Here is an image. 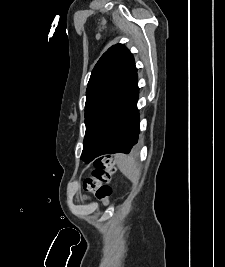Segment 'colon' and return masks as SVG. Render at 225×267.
<instances>
[{"label": "colon", "mask_w": 225, "mask_h": 267, "mask_svg": "<svg viewBox=\"0 0 225 267\" xmlns=\"http://www.w3.org/2000/svg\"><path fill=\"white\" fill-rule=\"evenodd\" d=\"M115 173V161L109 155L96 159L92 176L84 182V188L93 192L97 199L108 205L113 190L110 186L112 176Z\"/></svg>", "instance_id": "colon-1"}]
</instances>
